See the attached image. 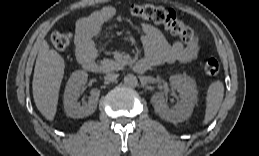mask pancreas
<instances>
[{"label":"pancreas","instance_id":"pancreas-1","mask_svg":"<svg viewBox=\"0 0 259 156\" xmlns=\"http://www.w3.org/2000/svg\"><path fill=\"white\" fill-rule=\"evenodd\" d=\"M125 65L124 60L115 61L112 59L104 58L100 61L101 71L109 73L111 71H119Z\"/></svg>","mask_w":259,"mask_h":156}]
</instances>
